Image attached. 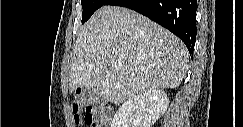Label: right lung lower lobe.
I'll use <instances>...</instances> for the list:
<instances>
[{"mask_svg": "<svg viewBox=\"0 0 243 127\" xmlns=\"http://www.w3.org/2000/svg\"><path fill=\"white\" fill-rule=\"evenodd\" d=\"M105 5L121 6L139 12L177 35L191 57L196 40V0H108Z\"/></svg>", "mask_w": 243, "mask_h": 127, "instance_id": "1", "label": "right lung lower lobe"}]
</instances>
